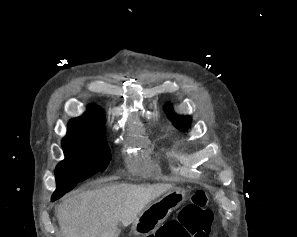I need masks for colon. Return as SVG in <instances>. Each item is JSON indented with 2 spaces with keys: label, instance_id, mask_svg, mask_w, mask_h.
<instances>
[{
  "label": "colon",
  "instance_id": "obj_1",
  "mask_svg": "<svg viewBox=\"0 0 297 237\" xmlns=\"http://www.w3.org/2000/svg\"><path fill=\"white\" fill-rule=\"evenodd\" d=\"M208 203L204 191H195L191 202L182 208L177 219L165 223L148 237H209L213 213Z\"/></svg>",
  "mask_w": 297,
  "mask_h": 237
}]
</instances>
